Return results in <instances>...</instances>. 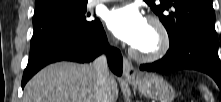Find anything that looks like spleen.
<instances>
[{
    "label": "spleen",
    "instance_id": "spleen-1",
    "mask_svg": "<svg viewBox=\"0 0 221 102\" xmlns=\"http://www.w3.org/2000/svg\"><path fill=\"white\" fill-rule=\"evenodd\" d=\"M200 88H201V90H202L203 93H204V98H205L207 101H208V100H212V95H211V93L209 92V90H208L205 86H203V85H201Z\"/></svg>",
    "mask_w": 221,
    "mask_h": 102
}]
</instances>
